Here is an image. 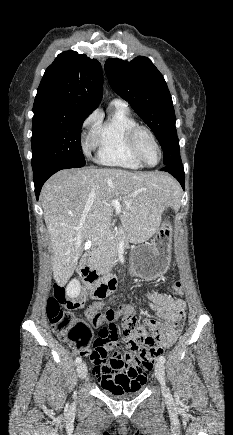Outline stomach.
Returning <instances> with one entry per match:
<instances>
[{"label": "stomach", "mask_w": 233, "mask_h": 435, "mask_svg": "<svg viewBox=\"0 0 233 435\" xmlns=\"http://www.w3.org/2000/svg\"><path fill=\"white\" fill-rule=\"evenodd\" d=\"M174 230L169 217L161 222L150 244L135 247L130 254L129 273L144 280L164 275L170 266Z\"/></svg>", "instance_id": "stomach-1"}]
</instances>
